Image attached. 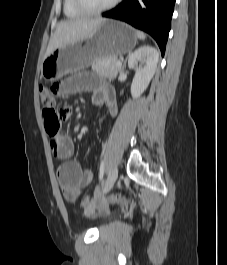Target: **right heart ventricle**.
Segmentation results:
<instances>
[{
    "mask_svg": "<svg viewBox=\"0 0 227 265\" xmlns=\"http://www.w3.org/2000/svg\"><path fill=\"white\" fill-rule=\"evenodd\" d=\"M63 10L65 15L69 18H77L83 15V13L75 8L73 0H64Z\"/></svg>",
    "mask_w": 227,
    "mask_h": 265,
    "instance_id": "1",
    "label": "right heart ventricle"
}]
</instances>
